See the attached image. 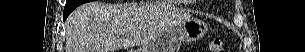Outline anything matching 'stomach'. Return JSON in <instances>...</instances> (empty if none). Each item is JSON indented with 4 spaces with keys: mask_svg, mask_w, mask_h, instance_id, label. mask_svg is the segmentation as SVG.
I'll return each instance as SVG.
<instances>
[{
    "mask_svg": "<svg viewBox=\"0 0 305 52\" xmlns=\"http://www.w3.org/2000/svg\"><path fill=\"white\" fill-rule=\"evenodd\" d=\"M206 32L207 27L203 21L195 18L187 19L178 26L161 32L134 52H178L182 43L197 41Z\"/></svg>",
    "mask_w": 305,
    "mask_h": 52,
    "instance_id": "obj_1",
    "label": "stomach"
}]
</instances>
